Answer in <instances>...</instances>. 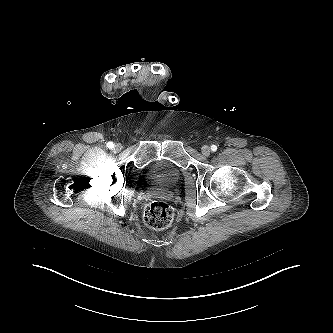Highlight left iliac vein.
<instances>
[{
  "label": "left iliac vein",
  "mask_w": 333,
  "mask_h": 333,
  "mask_svg": "<svg viewBox=\"0 0 333 333\" xmlns=\"http://www.w3.org/2000/svg\"><path fill=\"white\" fill-rule=\"evenodd\" d=\"M201 151H202V154H203L204 156H209L210 153H211V149H210V147L207 146V145H204V146L202 147Z\"/></svg>",
  "instance_id": "obj_1"
}]
</instances>
